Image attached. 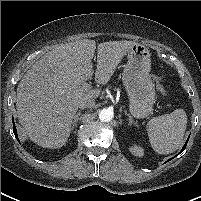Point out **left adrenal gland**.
<instances>
[{
    "label": "left adrenal gland",
    "instance_id": "1",
    "mask_svg": "<svg viewBox=\"0 0 201 201\" xmlns=\"http://www.w3.org/2000/svg\"><path fill=\"white\" fill-rule=\"evenodd\" d=\"M124 113H125V115H127V116H128V122H129V125L134 124L135 126H137V127H138L137 122L133 120V118L131 117V115H130V114H128V113H127V111H125Z\"/></svg>",
    "mask_w": 201,
    "mask_h": 201
}]
</instances>
